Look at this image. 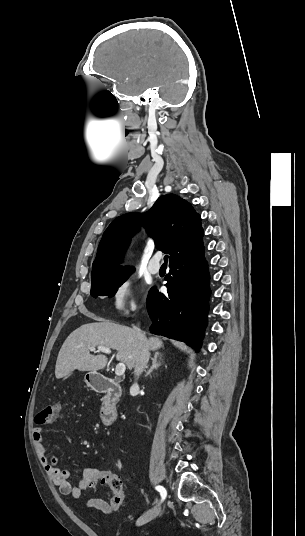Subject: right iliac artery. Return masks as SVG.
<instances>
[{
    "mask_svg": "<svg viewBox=\"0 0 305 536\" xmlns=\"http://www.w3.org/2000/svg\"><path fill=\"white\" fill-rule=\"evenodd\" d=\"M155 488L160 492L162 500H164L167 495L165 488L163 486H156Z\"/></svg>",
    "mask_w": 305,
    "mask_h": 536,
    "instance_id": "1",
    "label": "right iliac artery"
}]
</instances>
